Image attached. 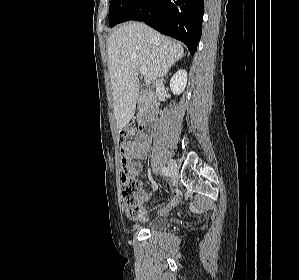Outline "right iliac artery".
<instances>
[{"label": "right iliac artery", "mask_w": 299, "mask_h": 280, "mask_svg": "<svg viewBox=\"0 0 299 280\" xmlns=\"http://www.w3.org/2000/svg\"><path fill=\"white\" fill-rule=\"evenodd\" d=\"M161 171H162V174L165 175V176H170L171 175V172H170L169 168H167V167H163L161 169Z\"/></svg>", "instance_id": "82829eb1"}]
</instances>
